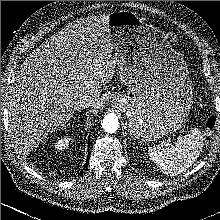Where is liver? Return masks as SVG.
I'll return each mask as SVG.
<instances>
[{
  "label": "liver",
  "mask_w": 220,
  "mask_h": 220,
  "mask_svg": "<svg viewBox=\"0 0 220 220\" xmlns=\"http://www.w3.org/2000/svg\"><path fill=\"white\" fill-rule=\"evenodd\" d=\"M109 15L88 16L68 24L41 44L22 63L10 86L6 107L10 128L23 149L37 147L43 137L73 116L82 95L102 104L101 86L111 81L117 65Z\"/></svg>",
  "instance_id": "1"
}]
</instances>
